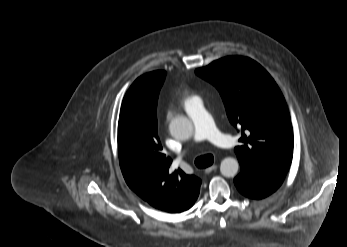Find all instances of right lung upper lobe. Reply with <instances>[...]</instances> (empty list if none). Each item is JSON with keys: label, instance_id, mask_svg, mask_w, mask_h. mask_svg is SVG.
Returning a JSON list of instances; mask_svg holds the SVG:
<instances>
[{"label": "right lung upper lobe", "instance_id": "1", "mask_svg": "<svg viewBox=\"0 0 347 247\" xmlns=\"http://www.w3.org/2000/svg\"><path fill=\"white\" fill-rule=\"evenodd\" d=\"M154 71L131 85L121 106L118 155L128 186L153 207L180 213L198 198L201 180L178 169L170 172V157L162 153L156 107L164 78Z\"/></svg>", "mask_w": 347, "mask_h": 247}]
</instances>
